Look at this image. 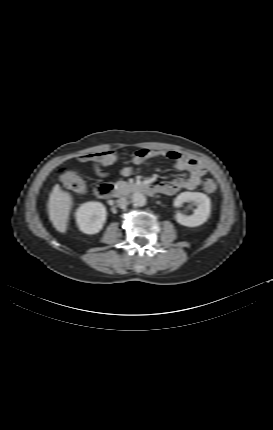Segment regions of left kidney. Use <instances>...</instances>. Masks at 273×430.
I'll return each mask as SVG.
<instances>
[{
  "instance_id": "1",
  "label": "left kidney",
  "mask_w": 273,
  "mask_h": 430,
  "mask_svg": "<svg viewBox=\"0 0 273 430\" xmlns=\"http://www.w3.org/2000/svg\"><path fill=\"white\" fill-rule=\"evenodd\" d=\"M185 202H192L196 209L192 215L177 213L176 221L187 227H197L202 225L210 216L211 201L210 198L201 192H183L174 200L175 207H181Z\"/></svg>"
}]
</instances>
